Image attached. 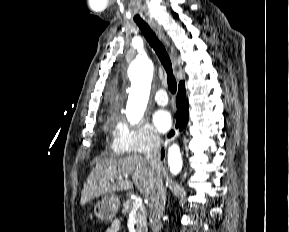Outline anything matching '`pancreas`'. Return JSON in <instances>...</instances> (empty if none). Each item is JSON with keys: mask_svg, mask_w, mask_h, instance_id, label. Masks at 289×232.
I'll return each mask as SVG.
<instances>
[{"mask_svg": "<svg viewBox=\"0 0 289 232\" xmlns=\"http://www.w3.org/2000/svg\"><path fill=\"white\" fill-rule=\"evenodd\" d=\"M133 202L131 200H127L123 203L122 214L128 215L132 210ZM136 223L137 230L136 232H147V211L146 208L142 205L137 209L136 213Z\"/></svg>", "mask_w": 289, "mask_h": 232, "instance_id": "pancreas-1", "label": "pancreas"}]
</instances>
